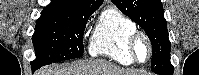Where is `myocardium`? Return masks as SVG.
Masks as SVG:
<instances>
[{
	"label": "myocardium",
	"mask_w": 199,
	"mask_h": 75,
	"mask_svg": "<svg viewBox=\"0 0 199 75\" xmlns=\"http://www.w3.org/2000/svg\"><path fill=\"white\" fill-rule=\"evenodd\" d=\"M139 39L144 40L147 45H148V57L145 61H140L139 58L137 57L136 54V43ZM128 45H129V51L130 54L133 58V60L138 63V64H144L146 62H148L151 59L152 56V52H153V47H152V43L150 38L148 37V35L142 31L139 30H134L133 32H131V34L129 35L128 38Z\"/></svg>",
	"instance_id": "obj_1"
}]
</instances>
